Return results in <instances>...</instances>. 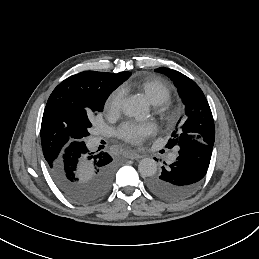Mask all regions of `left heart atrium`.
I'll return each instance as SVG.
<instances>
[{
	"mask_svg": "<svg viewBox=\"0 0 259 259\" xmlns=\"http://www.w3.org/2000/svg\"><path fill=\"white\" fill-rule=\"evenodd\" d=\"M157 126L152 122L129 121L123 123L117 130L118 136L131 144H140L147 137L156 133Z\"/></svg>",
	"mask_w": 259,
	"mask_h": 259,
	"instance_id": "1",
	"label": "left heart atrium"
}]
</instances>
